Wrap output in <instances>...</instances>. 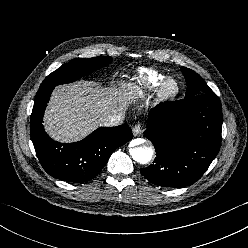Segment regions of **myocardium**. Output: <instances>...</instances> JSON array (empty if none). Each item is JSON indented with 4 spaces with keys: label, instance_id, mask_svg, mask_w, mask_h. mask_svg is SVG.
I'll use <instances>...</instances> for the list:
<instances>
[{
    "label": "myocardium",
    "instance_id": "1",
    "mask_svg": "<svg viewBox=\"0 0 248 248\" xmlns=\"http://www.w3.org/2000/svg\"><path fill=\"white\" fill-rule=\"evenodd\" d=\"M172 85V88L170 86ZM180 92V84L173 77H166L158 86V97L162 101L175 99Z\"/></svg>",
    "mask_w": 248,
    "mask_h": 248
}]
</instances>
